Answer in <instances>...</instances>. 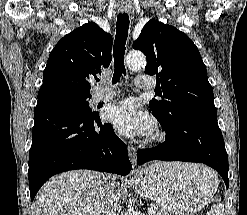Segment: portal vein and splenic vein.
<instances>
[{
	"label": "portal vein and splenic vein",
	"instance_id": "obj_1",
	"mask_svg": "<svg viewBox=\"0 0 247 215\" xmlns=\"http://www.w3.org/2000/svg\"><path fill=\"white\" fill-rule=\"evenodd\" d=\"M148 214L149 215H156V210H154L153 208H148Z\"/></svg>",
	"mask_w": 247,
	"mask_h": 215
}]
</instances>
